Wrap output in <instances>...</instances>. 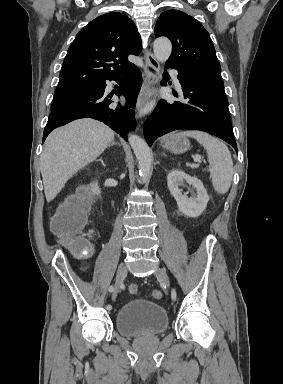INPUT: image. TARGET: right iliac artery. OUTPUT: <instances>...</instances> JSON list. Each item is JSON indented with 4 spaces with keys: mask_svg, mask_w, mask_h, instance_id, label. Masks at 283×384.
<instances>
[{
    "mask_svg": "<svg viewBox=\"0 0 283 384\" xmlns=\"http://www.w3.org/2000/svg\"><path fill=\"white\" fill-rule=\"evenodd\" d=\"M108 290H109V292H113L114 287H113V286H110V287L108 288ZM106 308H107V310H111V309H112V306L109 304V305L106 306Z\"/></svg>",
    "mask_w": 283,
    "mask_h": 384,
    "instance_id": "1",
    "label": "right iliac artery"
}]
</instances>
